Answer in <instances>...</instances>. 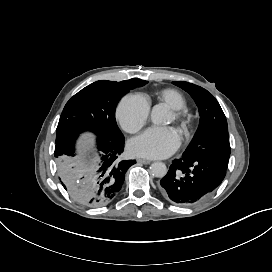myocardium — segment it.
I'll use <instances>...</instances> for the list:
<instances>
[{
  "label": "myocardium",
  "mask_w": 272,
  "mask_h": 272,
  "mask_svg": "<svg viewBox=\"0 0 272 272\" xmlns=\"http://www.w3.org/2000/svg\"><path fill=\"white\" fill-rule=\"evenodd\" d=\"M172 115L174 117V121L180 127L185 128L186 126V112L181 108H172Z\"/></svg>",
  "instance_id": "1"
}]
</instances>
